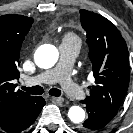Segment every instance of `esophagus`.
<instances>
[{
    "instance_id": "1",
    "label": "esophagus",
    "mask_w": 133,
    "mask_h": 133,
    "mask_svg": "<svg viewBox=\"0 0 133 133\" xmlns=\"http://www.w3.org/2000/svg\"><path fill=\"white\" fill-rule=\"evenodd\" d=\"M52 100L57 102V103H63L64 102V99L62 97H53Z\"/></svg>"
}]
</instances>
